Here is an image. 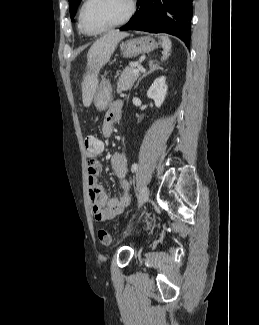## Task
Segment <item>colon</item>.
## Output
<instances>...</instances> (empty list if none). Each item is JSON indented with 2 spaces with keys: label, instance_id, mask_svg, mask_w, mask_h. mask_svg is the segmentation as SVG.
<instances>
[{
  "label": "colon",
  "instance_id": "colon-1",
  "mask_svg": "<svg viewBox=\"0 0 259 325\" xmlns=\"http://www.w3.org/2000/svg\"><path fill=\"white\" fill-rule=\"evenodd\" d=\"M84 147L86 154H93L97 150L103 149V144L101 143L100 138H96L94 136H87L84 140ZM99 242L103 246H109L112 242L111 236L108 231L101 229L97 233Z\"/></svg>",
  "mask_w": 259,
  "mask_h": 325
}]
</instances>
